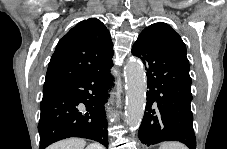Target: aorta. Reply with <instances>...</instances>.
<instances>
[{
  "label": "aorta",
  "mask_w": 227,
  "mask_h": 149,
  "mask_svg": "<svg viewBox=\"0 0 227 149\" xmlns=\"http://www.w3.org/2000/svg\"><path fill=\"white\" fill-rule=\"evenodd\" d=\"M126 81L125 122L131 129L139 127L146 104V76L143 65L129 60L124 68Z\"/></svg>",
  "instance_id": "762f6f07"
}]
</instances>
